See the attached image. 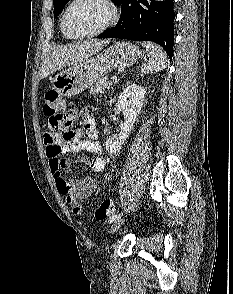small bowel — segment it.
Masks as SVG:
<instances>
[{"mask_svg": "<svg viewBox=\"0 0 233 294\" xmlns=\"http://www.w3.org/2000/svg\"><path fill=\"white\" fill-rule=\"evenodd\" d=\"M70 118V121L68 120ZM73 122H80L83 130L76 131ZM49 131L44 134L46 154L49 167L59 193L70 197L74 201H85L98 186V180L92 176L84 178H68L66 171L72 160L61 157L62 154L87 152L93 158L83 157L78 160L95 172H103L106 161L98 141L93 108L85 107L77 113V108H62L53 110L48 117ZM111 175L106 173L104 180H109Z\"/></svg>", "mask_w": 233, "mask_h": 294, "instance_id": "c3829d8e", "label": "small bowel"}]
</instances>
